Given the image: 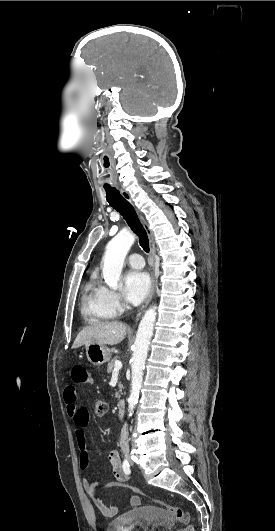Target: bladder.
I'll list each match as a JSON object with an SVG mask.
<instances>
[{
    "label": "bladder",
    "mask_w": 275,
    "mask_h": 531,
    "mask_svg": "<svg viewBox=\"0 0 275 531\" xmlns=\"http://www.w3.org/2000/svg\"><path fill=\"white\" fill-rule=\"evenodd\" d=\"M173 513L159 505L140 506L109 520L106 531H172Z\"/></svg>",
    "instance_id": "obj_1"
}]
</instances>
